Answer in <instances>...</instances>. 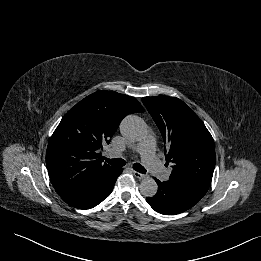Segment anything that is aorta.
<instances>
[{
	"mask_svg": "<svg viewBox=\"0 0 261 261\" xmlns=\"http://www.w3.org/2000/svg\"><path fill=\"white\" fill-rule=\"evenodd\" d=\"M120 132L131 141H139L145 137L147 128L140 117L129 115L122 120ZM139 188L145 197H153L157 193L158 185L153 178L145 177L140 182Z\"/></svg>",
	"mask_w": 261,
	"mask_h": 261,
	"instance_id": "obj_1",
	"label": "aorta"
}]
</instances>
